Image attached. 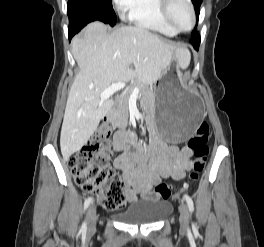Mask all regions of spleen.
I'll list each match as a JSON object with an SVG mask.
<instances>
[{
    "label": "spleen",
    "mask_w": 264,
    "mask_h": 247,
    "mask_svg": "<svg viewBox=\"0 0 264 247\" xmlns=\"http://www.w3.org/2000/svg\"><path fill=\"white\" fill-rule=\"evenodd\" d=\"M176 56L178 59V64L182 69H186L191 60V54L188 49H177Z\"/></svg>",
    "instance_id": "1"
}]
</instances>
